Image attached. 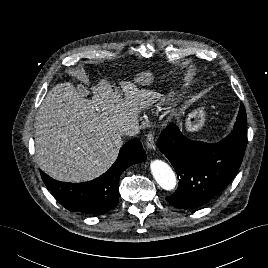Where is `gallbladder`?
Listing matches in <instances>:
<instances>
[{
  "label": "gallbladder",
  "mask_w": 268,
  "mask_h": 268,
  "mask_svg": "<svg viewBox=\"0 0 268 268\" xmlns=\"http://www.w3.org/2000/svg\"><path fill=\"white\" fill-rule=\"evenodd\" d=\"M78 90H79L80 94L84 95V93H85V88L84 87L80 86Z\"/></svg>",
  "instance_id": "gallbladder-1"
}]
</instances>
